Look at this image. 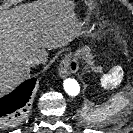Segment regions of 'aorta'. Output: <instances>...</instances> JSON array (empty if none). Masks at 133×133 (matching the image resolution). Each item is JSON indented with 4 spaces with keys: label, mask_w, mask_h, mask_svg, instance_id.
<instances>
[{
    "label": "aorta",
    "mask_w": 133,
    "mask_h": 133,
    "mask_svg": "<svg viewBox=\"0 0 133 133\" xmlns=\"http://www.w3.org/2000/svg\"><path fill=\"white\" fill-rule=\"evenodd\" d=\"M63 87H64L65 92L69 96H77L80 93V85L73 78L65 79L63 82Z\"/></svg>",
    "instance_id": "1"
}]
</instances>
